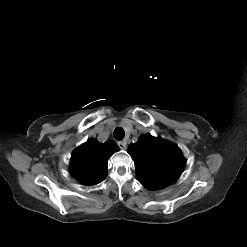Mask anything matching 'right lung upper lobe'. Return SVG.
Wrapping results in <instances>:
<instances>
[{"label": "right lung upper lobe", "mask_w": 247, "mask_h": 247, "mask_svg": "<svg viewBox=\"0 0 247 247\" xmlns=\"http://www.w3.org/2000/svg\"><path fill=\"white\" fill-rule=\"evenodd\" d=\"M118 150V146L112 141L100 144L89 139L73 151L71 175L84 185L100 183L106 177L109 157Z\"/></svg>", "instance_id": "cb5924a9"}]
</instances>
